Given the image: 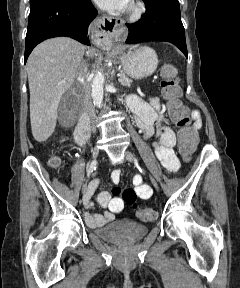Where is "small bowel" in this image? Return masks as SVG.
I'll return each mask as SVG.
<instances>
[{"label":"small bowel","mask_w":240,"mask_h":288,"mask_svg":"<svg viewBox=\"0 0 240 288\" xmlns=\"http://www.w3.org/2000/svg\"><path fill=\"white\" fill-rule=\"evenodd\" d=\"M127 105L135 115L137 127L143 133L144 139H149L156 136L157 141L153 147L155 154L162 166L169 172H176L180 163L173 150L176 144V136L174 131L167 125L164 108L161 101L157 97H150L148 101L139 98L136 95H130L127 98ZM194 121L193 128L198 131L202 122L198 111L192 112ZM121 177V171L116 169L111 174V179L115 184H118ZM98 182H93L86 194L84 204L87 208L92 207L90 201L92 195L97 188ZM134 191L141 199H149L152 195L150 186L144 183L140 175H135L133 178ZM121 190L119 187H114L112 191L101 192L97 196L99 205L106 209L103 214H95L87 212L85 220L91 227H99L114 219V214L122 211L124 207L123 200L120 198Z\"/></svg>","instance_id":"small-bowel-1"}]
</instances>
